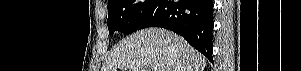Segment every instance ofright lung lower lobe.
<instances>
[{
  "instance_id": "98d812e1",
  "label": "right lung lower lobe",
  "mask_w": 301,
  "mask_h": 71,
  "mask_svg": "<svg viewBox=\"0 0 301 71\" xmlns=\"http://www.w3.org/2000/svg\"><path fill=\"white\" fill-rule=\"evenodd\" d=\"M213 7L212 0H157L141 29L156 26L172 30L213 61Z\"/></svg>"
}]
</instances>
